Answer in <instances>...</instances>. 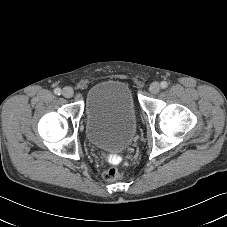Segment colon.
<instances>
[{
	"mask_svg": "<svg viewBox=\"0 0 227 227\" xmlns=\"http://www.w3.org/2000/svg\"><path fill=\"white\" fill-rule=\"evenodd\" d=\"M111 161H116V157L112 156ZM103 178L108 182H115L122 177V173L116 167H109L103 171Z\"/></svg>",
	"mask_w": 227,
	"mask_h": 227,
	"instance_id": "5ec220e1",
	"label": "colon"
}]
</instances>
